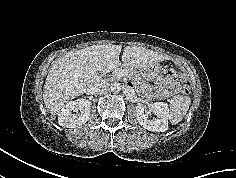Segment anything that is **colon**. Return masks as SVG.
<instances>
[{
  "mask_svg": "<svg viewBox=\"0 0 236 178\" xmlns=\"http://www.w3.org/2000/svg\"><path fill=\"white\" fill-rule=\"evenodd\" d=\"M175 74H176V70L175 69L169 68V69H165L164 70V77L165 78H169L171 76H174ZM182 92L185 93V94L189 93V86L187 84H185L182 87Z\"/></svg>",
  "mask_w": 236,
  "mask_h": 178,
  "instance_id": "colon-1",
  "label": "colon"
}]
</instances>
